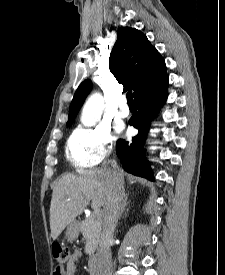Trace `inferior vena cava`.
<instances>
[{
    "label": "inferior vena cava",
    "instance_id": "obj_1",
    "mask_svg": "<svg viewBox=\"0 0 225 275\" xmlns=\"http://www.w3.org/2000/svg\"><path fill=\"white\" fill-rule=\"evenodd\" d=\"M110 186L104 208L103 230L101 234L100 250L96 275H112V255L109 242L118 221L121 201L124 197L123 175L114 162L110 169Z\"/></svg>",
    "mask_w": 225,
    "mask_h": 275
}]
</instances>
